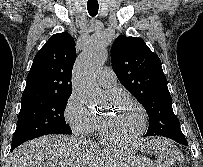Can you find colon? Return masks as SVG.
<instances>
[{"mask_svg":"<svg viewBox=\"0 0 203 167\" xmlns=\"http://www.w3.org/2000/svg\"><path fill=\"white\" fill-rule=\"evenodd\" d=\"M157 167H180V165L165 155H161L157 159Z\"/></svg>","mask_w":203,"mask_h":167,"instance_id":"1","label":"colon"}]
</instances>
